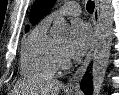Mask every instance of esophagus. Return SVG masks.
I'll list each match as a JSON object with an SVG mask.
<instances>
[{
	"label": "esophagus",
	"mask_w": 119,
	"mask_h": 95,
	"mask_svg": "<svg viewBox=\"0 0 119 95\" xmlns=\"http://www.w3.org/2000/svg\"><path fill=\"white\" fill-rule=\"evenodd\" d=\"M99 22H100V9H99V1L95 0V9L93 12V29H94V35H93V40L90 46V49L82 62L81 66L77 69V71L73 74L72 77L68 80L66 84V88L72 89V90H78L79 89V84L81 79L83 78L85 72L87 71V68L91 62L94 47L96 44V39H97V33H98V27H99Z\"/></svg>",
	"instance_id": "1"
}]
</instances>
